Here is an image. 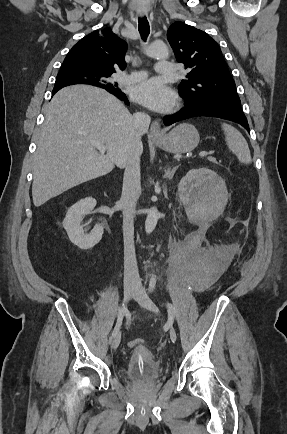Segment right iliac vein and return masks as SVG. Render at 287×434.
<instances>
[{
  "label": "right iliac vein",
  "instance_id": "63e3f726",
  "mask_svg": "<svg viewBox=\"0 0 287 434\" xmlns=\"http://www.w3.org/2000/svg\"><path fill=\"white\" fill-rule=\"evenodd\" d=\"M134 291H135V283L132 281H127L124 287V299L126 302H128L132 298ZM120 341H121V334L117 333L111 344L112 349L114 350L117 349V347L120 344Z\"/></svg>",
  "mask_w": 287,
  "mask_h": 434
}]
</instances>
